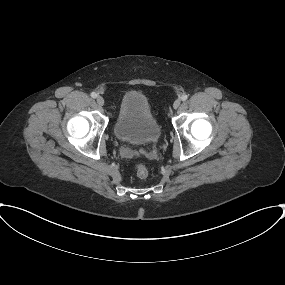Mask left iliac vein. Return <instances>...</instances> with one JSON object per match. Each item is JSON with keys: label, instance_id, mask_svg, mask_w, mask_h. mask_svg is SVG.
<instances>
[{"label": "left iliac vein", "instance_id": "1", "mask_svg": "<svg viewBox=\"0 0 285 285\" xmlns=\"http://www.w3.org/2000/svg\"><path fill=\"white\" fill-rule=\"evenodd\" d=\"M181 104V100L180 99H176L173 103V108L177 109Z\"/></svg>", "mask_w": 285, "mask_h": 285}]
</instances>
